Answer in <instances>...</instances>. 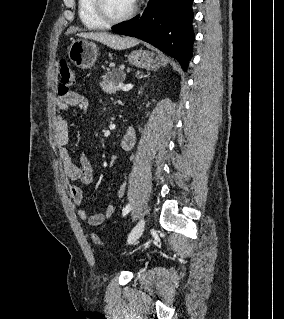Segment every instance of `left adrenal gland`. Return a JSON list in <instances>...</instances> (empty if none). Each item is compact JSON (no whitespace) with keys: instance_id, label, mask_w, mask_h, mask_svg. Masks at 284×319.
Wrapping results in <instances>:
<instances>
[{"instance_id":"obj_1","label":"left adrenal gland","mask_w":284,"mask_h":319,"mask_svg":"<svg viewBox=\"0 0 284 319\" xmlns=\"http://www.w3.org/2000/svg\"><path fill=\"white\" fill-rule=\"evenodd\" d=\"M143 90H144V88H141V90L139 91V93H142Z\"/></svg>"}]
</instances>
